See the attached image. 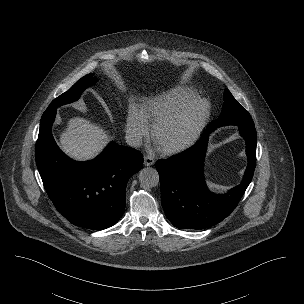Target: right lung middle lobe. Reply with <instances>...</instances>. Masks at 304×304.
Segmentation results:
<instances>
[{
    "instance_id": "right-lung-middle-lobe-1",
    "label": "right lung middle lobe",
    "mask_w": 304,
    "mask_h": 304,
    "mask_svg": "<svg viewBox=\"0 0 304 304\" xmlns=\"http://www.w3.org/2000/svg\"><path fill=\"white\" fill-rule=\"evenodd\" d=\"M95 82L96 77H92L90 74L82 77L68 91L54 99L47 109L57 108L63 104L75 101L86 87L93 85Z\"/></svg>"
}]
</instances>
